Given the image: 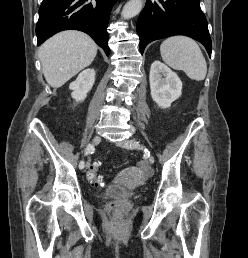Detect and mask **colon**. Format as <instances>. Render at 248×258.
Segmentation results:
<instances>
[{
    "label": "colon",
    "instance_id": "5ec220e1",
    "mask_svg": "<svg viewBox=\"0 0 248 258\" xmlns=\"http://www.w3.org/2000/svg\"><path fill=\"white\" fill-rule=\"evenodd\" d=\"M89 171L91 172L89 174H85V179L89 180L94 186H102V177L96 173V171H99V163H90Z\"/></svg>",
    "mask_w": 248,
    "mask_h": 258
}]
</instances>
